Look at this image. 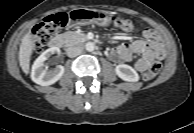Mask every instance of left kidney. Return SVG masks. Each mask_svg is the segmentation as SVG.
<instances>
[{
  "instance_id": "1",
  "label": "left kidney",
  "mask_w": 194,
  "mask_h": 133,
  "mask_svg": "<svg viewBox=\"0 0 194 133\" xmlns=\"http://www.w3.org/2000/svg\"><path fill=\"white\" fill-rule=\"evenodd\" d=\"M115 72L119 78L128 82H137L139 80L138 73L129 65L120 64L115 68Z\"/></svg>"
}]
</instances>
